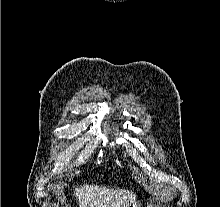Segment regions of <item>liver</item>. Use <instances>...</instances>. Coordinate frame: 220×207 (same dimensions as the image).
Segmentation results:
<instances>
[{
    "label": "liver",
    "instance_id": "6515ba94",
    "mask_svg": "<svg viewBox=\"0 0 220 207\" xmlns=\"http://www.w3.org/2000/svg\"><path fill=\"white\" fill-rule=\"evenodd\" d=\"M75 192L79 207H128L136 200L133 192L95 185L77 187Z\"/></svg>",
    "mask_w": 220,
    "mask_h": 207
}]
</instances>
